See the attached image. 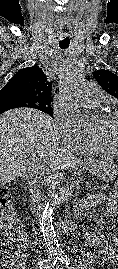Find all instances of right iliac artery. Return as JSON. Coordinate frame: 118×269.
<instances>
[{
    "instance_id": "right-iliac-artery-1",
    "label": "right iliac artery",
    "mask_w": 118,
    "mask_h": 269,
    "mask_svg": "<svg viewBox=\"0 0 118 269\" xmlns=\"http://www.w3.org/2000/svg\"><path fill=\"white\" fill-rule=\"evenodd\" d=\"M58 256H51L48 259L44 260L40 264V269H52V267L56 264Z\"/></svg>"
}]
</instances>
